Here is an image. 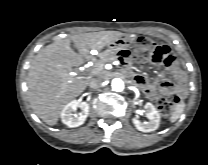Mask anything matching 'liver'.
I'll return each mask as SVG.
<instances>
[{"label": "liver", "instance_id": "1", "mask_svg": "<svg viewBox=\"0 0 208 165\" xmlns=\"http://www.w3.org/2000/svg\"><path fill=\"white\" fill-rule=\"evenodd\" d=\"M123 35L119 31L77 34L43 48L32 62L27 79L28 99L35 114L46 124L55 125L65 105L89 83L75 77L73 68L90 59L92 50H101ZM71 40L78 53L71 48Z\"/></svg>", "mask_w": 208, "mask_h": 165}]
</instances>
